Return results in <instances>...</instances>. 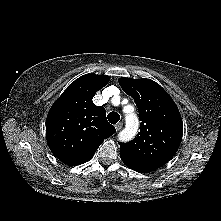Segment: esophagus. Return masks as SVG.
<instances>
[{
  "instance_id": "1",
  "label": "esophagus",
  "mask_w": 221,
  "mask_h": 221,
  "mask_svg": "<svg viewBox=\"0 0 221 221\" xmlns=\"http://www.w3.org/2000/svg\"><path fill=\"white\" fill-rule=\"evenodd\" d=\"M122 127H123V123H122V122H119V123H117V124L115 125V128H116L117 131L121 130Z\"/></svg>"
}]
</instances>
